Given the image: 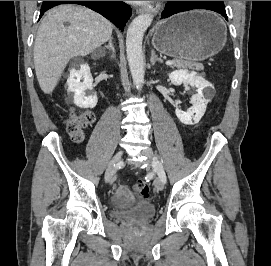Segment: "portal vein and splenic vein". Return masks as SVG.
<instances>
[{"label":"portal vein and splenic vein","mask_w":271,"mask_h":266,"mask_svg":"<svg viewBox=\"0 0 271 266\" xmlns=\"http://www.w3.org/2000/svg\"><path fill=\"white\" fill-rule=\"evenodd\" d=\"M175 62L174 61H171V60H168V61H166V65L167 66H171V65H173Z\"/></svg>","instance_id":"obj_1"}]
</instances>
